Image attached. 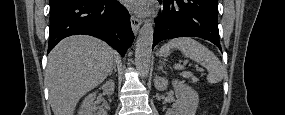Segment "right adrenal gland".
Instances as JSON below:
<instances>
[{"label":"right adrenal gland","instance_id":"right-adrenal-gland-1","mask_svg":"<svg viewBox=\"0 0 285 115\" xmlns=\"http://www.w3.org/2000/svg\"><path fill=\"white\" fill-rule=\"evenodd\" d=\"M113 70H114V72L117 71V70H116V64H115V63L113 64V68H112V70L110 71L109 76L112 74Z\"/></svg>","mask_w":285,"mask_h":115}]
</instances>
